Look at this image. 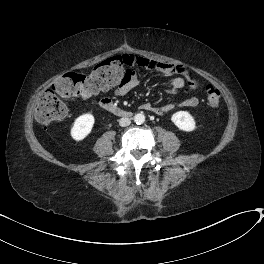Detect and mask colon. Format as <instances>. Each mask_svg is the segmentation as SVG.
Wrapping results in <instances>:
<instances>
[{"label":"colon","instance_id":"5ec220e1","mask_svg":"<svg viewBox=\"0 0 264 264\" xmlns=\"http://www.w3.org/2000/svg\"><path fill=\"white\" fill-rule=\"evenodd\" d=\"M132 63L130 55L115 56L100 62L88 75L69 72L59 77L40 97L35 111L36 120L47 126L64 118L68 111L64 98L89 96L119 84ZM198 87L199 81L192 80L190 88ZM204 90L208 105L217 107L221 100L219 90L211 84L205 85Z\"/></svg>","mask_w":264,"mask_h":264}]
</instances>
